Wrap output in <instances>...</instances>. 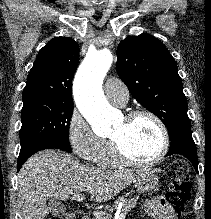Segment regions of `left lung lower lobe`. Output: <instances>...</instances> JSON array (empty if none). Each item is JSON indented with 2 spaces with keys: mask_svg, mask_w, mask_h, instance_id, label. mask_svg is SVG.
I'll return each instance as SVG.
<instances>
[{
  "mask_svg": "<svg viewBox=\"0 0 211 219\" xmlns=\"http://www.w3.org/2000/svg\"><path fill=\"white\" fill-rule=\"evenodd\" d=\"M171 144L167 156L179 154L189 159L198 172L197 150L192 138L191 127L181 128L170 137Z\"/></svg>",
  "mask_w": 211,
  "mask_h": 219,
  "instance_id": "1",
  "label": "left lung lower lobe"
}]
</instances>
